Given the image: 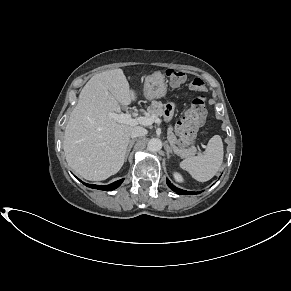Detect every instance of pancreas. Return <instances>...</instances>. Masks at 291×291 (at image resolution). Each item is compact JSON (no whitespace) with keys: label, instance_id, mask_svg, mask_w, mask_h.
I'll use <instances>...</instances> for the list:
<instances>
[{"label":"pancreas","instance_id":"pancreas-1","mask_svg":"<svg viewBox=\"0 0 291 291\" xmlns=\"http://www.w3.org/2000/svg\"><path fill=\"white\" fill-rule=\"evenodd\" d=\"M147 111L150 116L161 117L164 115V104H162V102L160 101H152ZM172 131H173V128L170 125L167 130V138L170 144L172 145L174 151L177 153V155L181 157H187V156L195 154L196 150L194 147H190V148L177 147L176 146L177 139Z\"/></svg>","mask_w":291,"mask_h":291}]
</instances>
